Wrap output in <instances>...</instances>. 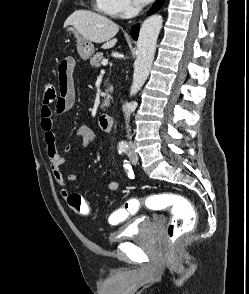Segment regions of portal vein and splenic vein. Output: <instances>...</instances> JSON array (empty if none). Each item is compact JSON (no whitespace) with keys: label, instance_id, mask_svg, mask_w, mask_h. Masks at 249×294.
Wrapping results in <instances>:
<instances>
[{"label":"portal vein and splenic vein","instance_id":"1","mask_svg":"<svg viewBox=\"0 0 249 294\" xmlns=\"http://www.w3.org/2000/svg\"><path fill=\"white\" fill-rule=\"evenodd\" d=\"M108 64V60H106V59H104L103 61H102V65L103 66H106ZM105 71L104 70H101V73L103 74Z\"/></svg>","mask_w":249,"mask_h":294}]
</instances>
